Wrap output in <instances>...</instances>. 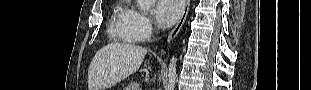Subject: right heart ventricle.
I'll return each mask as SVG.
<instances>
[{
  "mask_svg": "<svg viewBox=\"0 0 311 90\" xmlns=\"http://www.w3.org/2000/svg\"><path fill=\"white\" fill-rule=\"evenodd\" d=\"M128 14L129 10L123 7L116 8L110 21L109 34L122 42L133 43L137 39L130 29Z\"/></svg>",
  "mask_w": 311,
  "mask_h": 90,
  "instance_id": "right-heart-ventricle-1",
  "label": "right heart ventricle"
}]
</instances>
